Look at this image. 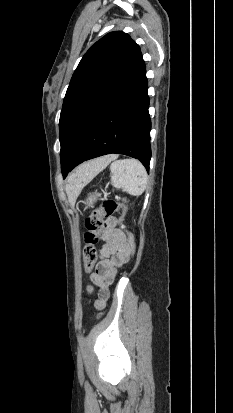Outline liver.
I'll return each mask as SVG.
<instances>
[{"label":"liver","mask_w":233,"mask_h":413,"mask_svg":"<svg viewBox=\"0 0 233 413\" xmlns=\"http://www.w3.org/2000/svg\"><path fill=\"white\" fill-rule=\"evenodd\" d=\"M115 156H104L80 165L68 179L66 193L70 202H74L82 188L102 169H104Z\"/></svg>","instance_id":"1"}]
</instances>
